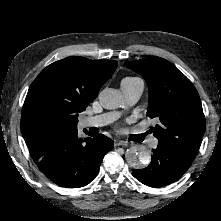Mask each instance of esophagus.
I'll use <instances>...</instances> for the list:
<instances>
[{"mask_svg": "<svg viewBox=\"0 0 221 221\" xmlns=\"http://www.w3.org/2000/svg\"><path fill=\"white\" fill-rule=\"evenodd\" d=\"M115 146H130V143L129 142H127V141H117L116 143H115Z\"/></svg>", "mask_w": 221, "mask_h": 221, "instance_id": "esophagus-1", "label": "esophagus"}]
</instances>
